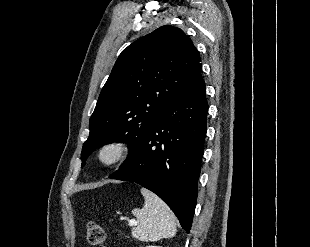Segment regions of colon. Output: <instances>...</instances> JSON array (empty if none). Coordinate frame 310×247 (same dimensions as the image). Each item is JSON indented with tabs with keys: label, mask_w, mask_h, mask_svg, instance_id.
Masks as SVG:
<instances>
[{
	"label": "colon",
	"mask_w": 310,
	"mask_h": 247,
	"mask_svg": "<svg viewBox=\"0 0 310 247\" xmlns=\"http://www.w3.org/2000/svg\"><path fill=\"white\" fill-rule=\"evenodd\" d=\"M86 238L90 244L97 247H103L106 243V233L103 227L96 222L88 223Z\"/></svg>",
	"instance_id": "obj_1"
}]
</instances>
